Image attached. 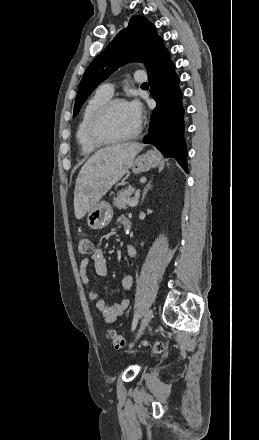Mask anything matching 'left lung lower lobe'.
I'll return each instance as SVG.
<instances>
[{
	"instance_id": "0a47b994",
	"label": "left lung lower lobe",
	"mask_w": 259,
	"mask_h": 440,
	"mask_svg": "<svg viewBox=\"0 0 259 440\" xmlns=\"http://www.w3.org/2000/svg\"><path fill=\"white\" fill-rule=\"evenodd\" d=\"M147 69L150 93L157 105L143 143L154 145L167 158L174 157L187 172L182 93L175 65L163 42L151 57Z\"/></svg>"
}]
</instances>
